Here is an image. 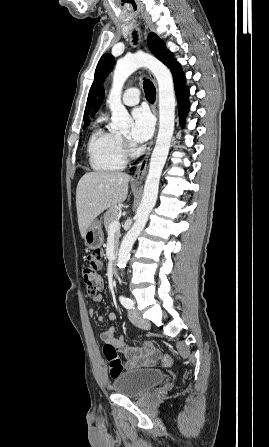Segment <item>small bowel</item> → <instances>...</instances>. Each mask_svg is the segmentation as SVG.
Returning <instances> with one entry per match:
<instances>
[{
	"label": "small bowel",
	"mask_w": 269,
	"mask_h": 447,
	"mask_svg": "<svg viewBox=\"0 0 269 447\" xmlns=\"http://www.w3.org/2000/svg\"><path fill=\"white\" fill-rule=\"evenodd\" d=\"M102 300L101 296L96 295L92 298L93 303L98 304ZM90 315L93 316L96 314V309L91 308L89 311ZM116 319V314L114 312L104 313L98 316L99 322H105L107 320L113 321ZM147 337H150V334H147ZM100 338L105 343H110L114 345L126 358V367L128 369H137L143 367L153 366L151 364V359L153 357H159L161 354L156 345L152 341H147L141 346H129L125 343L124 337L122 335H114V328L110 327L109 329L103 331L100 334ZM145 347L151 350L150 354L145 356L140 355V348ZM136 349L137 353L133 354L132 350Z\"/></svg>",
	"instance_id": "small-bowel-1"
}]
</instances>
